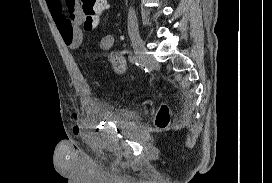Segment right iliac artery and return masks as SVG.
Instances as JSON below:
<instances>
[{
	"mask_svg": "<svg viewBox=\"0 0 272 183\" xmlns=\"http://www.w3.org/2000/svg\"><path fill=\"white\" fill-rule=\"evenodd\" d=\"M129 61L133 64H137V56H135L134 54L130 53L129 56Z\"/></svg>",
	"mask_w": 272,
	"mask_h": 183,
	"instance_id": "82829eb1",
	"label": "right iliac artery"
}]
</instances>
